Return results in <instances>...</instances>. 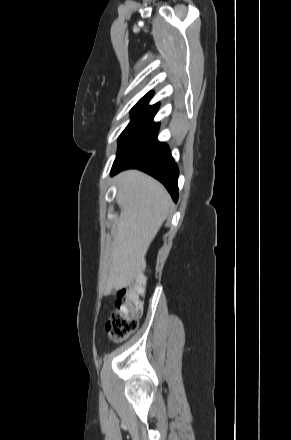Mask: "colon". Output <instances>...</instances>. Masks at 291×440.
I'll list each match as a JSON object with an SVG mask.
<instances>
[{
	"mask_svg": "<svg viewBox=\"0 0 291 440\" xmlns=\"http://www.w3.org/2000/svg\"><path fill=\"white\" fill-rule=\"evenodd\" d=\"M144 291V276L118 290L116 309L109 312L105 324V329L113 340L124 341L138 327Z\"/></svg>",
	"mask_w": 291,
	"mask_h": 440,
	"instance_id": "1",
	"label": "colon"
}]
</instances>
